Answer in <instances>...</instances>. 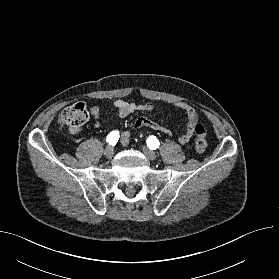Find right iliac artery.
Segmentation results:
<instances>
[{
  "mask_svg": "<svg viewBox=\"0 0 279 279\" xmlns=\"http://www.w3.org/2000/svg\"><path fill=\"white\" fill-rule=\"evenodd\" d=\"M119 139V132L118 131H112L108 136L106 141L111 144L115 145Z\"/></svg>",
  "mask_w": 279,
  "mask_h": 279,
  "instance_id": "obj_1",
  "label": "right iliac artery"
}]
</instances>
